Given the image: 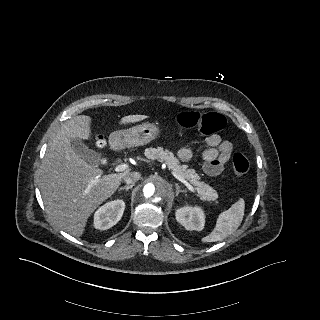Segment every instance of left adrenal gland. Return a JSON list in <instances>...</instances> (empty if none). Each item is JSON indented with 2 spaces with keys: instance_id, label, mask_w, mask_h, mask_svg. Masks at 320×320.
<instances>
[{
  "instance_id": "a2214340",
  "label": "left adrenal gland",
  "mask_w": 320,
  "mask_h": 320,
  "mask_svg": "<svg viewBox=\"0 0 320 320\" xmlns=\"http://www.w3.org/2000/svg\"><path fill=\"white\" fill-rule=\"evenodd\" d=\"M179 193H185V190H181L180 186L178 184H176V195L178 196Z\"/></svg>"
}]
</instances>
